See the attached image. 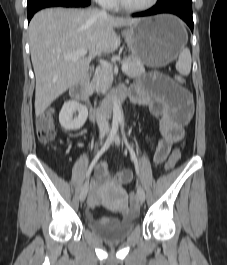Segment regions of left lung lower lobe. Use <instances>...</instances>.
<instances>
[{"label":"left lung lower lobe","instance_id":"1","mask_svg":"<svg viewBox=\"0 0 227 265\" xmlns=\"http://www.w3.org/2000/svg\"><path fill=\"white\" fill-rule=\"evenodd\" d=\"M161 13H171L179 16L188 24L190 29L193 31L192 3L167 2L162 4H156L151 9L144 12L135 13L132 16L143 17Z\"/></svg>","mask_w":227,"mask_h":265}]
</instances>
